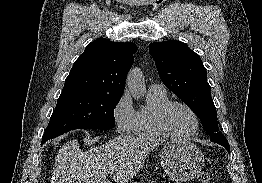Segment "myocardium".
<instances>
[{
  "instance_id": "1",
  "label": "myocardium",
  "mask_w": 262,
  "mask_h": 183,
  "mask_svg": "<svg viewBox=\"0 0 262 183\" xmlns=\"http://www.w3.org/2000/svg\"><path fill=\"white\" fill-rule=\"evenodd\" d=\"M175 106L184 107L191 113V115L193 116L195 120V128L193 131L186 133V134H178L169 128L167 124V117L171 109ZM200 124H201L200 118L198 114L196 113V111L189 104L182 102V101H169L161 108L157 116V126L159 130L161 131V133L165 135L166 137L175 138V139H186V138H190L196 135L200 129Z\"/></svg>"
}]
</instances>
